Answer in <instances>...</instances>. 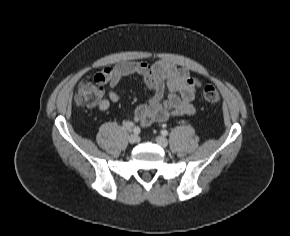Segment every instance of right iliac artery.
Listing matches in <instances>:
<instances>
[{
    "instance_id": "1",
    "label": "right iliac artery",
    "mask_w": 290,
    "mask_h": 236,
    "mask_svg": "<svg viewBox=\"0 0 290 236\" xmlns=\"http://www.w3.org/2000/svg\"><path fill=\"white\" fill-rule=\"evenodd\" d=\"M140 128L139 127H135V129L133 130V132L135 133V134H139L140 133Z\"/></svg>"
}]
</instances>
